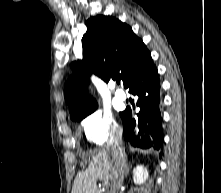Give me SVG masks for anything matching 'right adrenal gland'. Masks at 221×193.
<instances>
[{
	"instance_id": "1",
	"label": "right adrenal gland",
	"mask_w": 221,
	"mask_h": 193,
	"mask_svg": "<svg viewBox=\"0 0 221 193\" xmlns=\"http://www.w3.org/2000/svg\"><path fill=\"white\" fill-rule=\"evenodd\" d=\"M130 171V165H126V170H125V176H127L129 174Z\"/></svg>"
}]
</instances>
